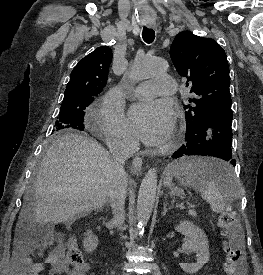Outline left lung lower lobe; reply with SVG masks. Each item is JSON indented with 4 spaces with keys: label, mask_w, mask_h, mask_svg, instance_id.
<instances>
[{
    "label": "left lung lower lobe",
    "mask_w": 263,
    "mask_h": 275,
    "mask_svg": "<svg viewBox=\"0 0 263 275\" xmlns=\"http://www.w3.org/2000/svg\"><path fill=\"white\" fill-rule=\"evenodd\" d=\"M232 119L231 106L216 109L201 125L193 130L186 129L185 143L172 157L177 159L191 155L213 156L235 166L231 151Z\"/></svg>",
    "instance_id": "left-lung-lower-lobe-1"
}]
</instances>
